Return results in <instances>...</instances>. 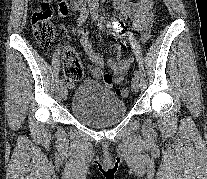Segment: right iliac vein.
Instances as JSON below:
<instances>
[{
    "label": "right iliac vein",
    "mask_w": 207,
    "mask_h": 179,
    "mask_svg": "<svg viewBox=\"0 0 207 179\" xmlns=\"http://www.w3.org/2000/svg\"><path fill=\"white\" fill-rule=\"evenodd\" d=\"M61 96H62V98H63L64 100L67 99V96H68V89H67L66 86H63V87L61 88Z\"/></svg>",
    "instance_id": "right-iliac-vein-1"
}]
</instances>
